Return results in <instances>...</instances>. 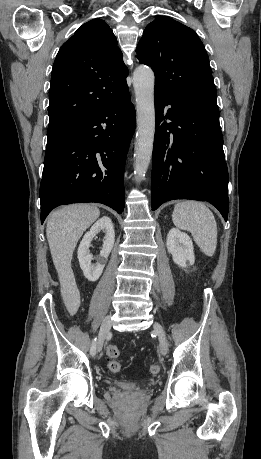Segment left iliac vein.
<instances>
[{
  "instance_id": "4c4485c4",
  "label": "left iliac vein",
  "mask_w": 261,
  "mask_h": 459,
  "mask_svg": "<svg viewBox=\"0 0 261 459\" xmlns=\"http://www.w3.org/2000/svg\"><path fill=\"white\" fill-rule=\"evenodd\" d=\"M153 328H154V332L158 336L160 352L162 355L165 356L168 352V344L166 340L165 331L158 322L154 323Z\"/></svg>"
}]
</instances>
